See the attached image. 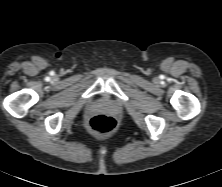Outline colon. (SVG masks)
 Here are the masks:
<instances>
[{
	"instance_id": "obj_1",
	"label": "colon",
	"mask_w": 222,
	"mask_h": 187,
	"mask_svg": "<svg viewBox=\"0 0 222 187\" xmlns=\"http://www.w3.org/2000/svg\"><path fill=\"white\" fill-rule=\"evenodd\" d=\"M89 129L98 135L113 132L116 128V120L109 115H95L88 122Z\"/></svg>"
}]
</instances>
